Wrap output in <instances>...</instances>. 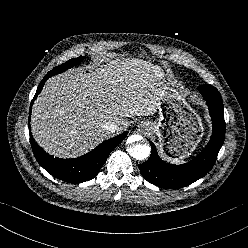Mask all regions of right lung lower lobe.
<instances>
[{
	"label": "right lung lower lobe",
	"mask_w": 248,
	"mask_h": 248,
	"mask_svg": "<svg viewBox=\"0 0 248 248\" xmlns=\"http://www.w3.org/2000/svg\"><path fill=\"white\" fill-rule=\"evenodd\" d=\"M53 76L48 73L39 84L36 94L32 100L41 92L45 81ZM31 110V108H30ZM31 114V112H30ZM30 120V116H29ZM127 133L124 132L112 139L106 140L98 145L91 152L74 159H59L50 156L37 145L30 132V143L33 153L39 164L53 177L69 183H81L93 179L97 176L99 170L105 163L110 152L126 137Z\"/></svg>",
	"instance_id": "98d812e1"
}]
</instances>
